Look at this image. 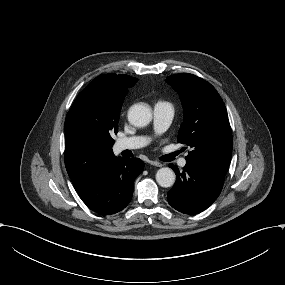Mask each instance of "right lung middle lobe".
I'll return each instance as SVG.
<instances>
[{
	"label": "right lung middle lobe",
	"mask_w": 285,
	"mask_h": 285,
	"mask_svg": "<svg viewBox=\"0 0 285 285\" xmlns=\"http://www.w3.org/2000/svg\"><path fill=\"white\" fill-rule=\"evenodd\" d=\"M119 115L109 116L101 122H84L72 108L65 120V140L77 144H102L112 147L111 134L118 132Z\"/></svg>",
	"instance_id": "1"
}]
</instances>
